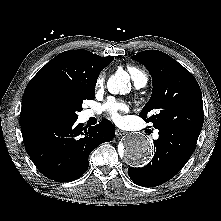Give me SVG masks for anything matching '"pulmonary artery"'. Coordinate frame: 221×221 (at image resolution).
Wrapping results in <instances>:
<instances>
[{"mask_svg":"<svg viewBox=\"0 0 221 221\" xmlns=\"http://www.w3.org/2000/svg\"><path fill=\"white\" fill-rule=\"evenodd\" d=\"M146 84H147V79H146V78H143V79H141L139 82H137L135 85H136L137 88H142V87H144ZM92 115H93V112H92V111H90V110L86 111V116H87V117H90V116H92ZM154 138H158V133H157V132L154 134Z\"/></svg>","mask_w":221,"mask_h":221,"instance_id":"1","label":"pulmonary artery"}]
</instances>
